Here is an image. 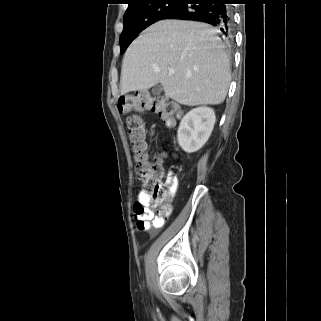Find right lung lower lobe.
Instances as JSON below:
<instances>
[{"label": "right lung lower lobe", "instance_id": "obj_1", "mask_svg": "<svg viewBox=\"0 0 321 321\" xmlns=\"http://www.w3.org/2000/svg\"><path fill=\"white\" fill-rule=\"evenodd\" d=\"M232 0H181L162 19L194 20L217 27L224 35L232 31Z\"/></svg>", "mask_w": 321, "mask_h": 321}]
</instances>
